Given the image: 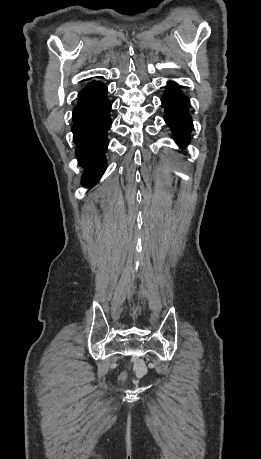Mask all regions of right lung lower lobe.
Returning a JSON list of instances; mask_svg holds the SVG:
<instances>
[{
	"mask_svg": "<svg viewBox=\"0 0 261 459\" xmlns=\"http://www.w3.org/2000/svg\"><path fill=\"white\" fill-rule=\"evenodd\" d=\"M107 87L99 83L79 95L73 111V137L80 166L85 168L82 183L93 185L106 169L107 131L111 125V104Z\"/></svg>",
	"mask_w": 261,
	"mask_h": 459,
	"instance_id": "obj_1",
	"label": "right lung lower lobe"
}]
</instances>
